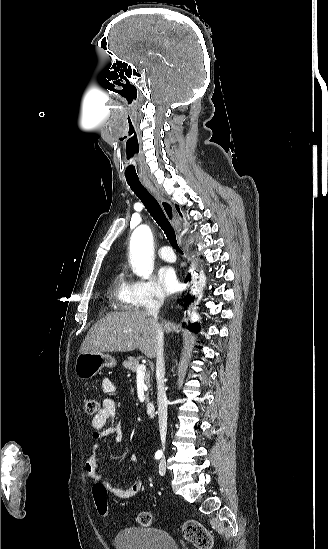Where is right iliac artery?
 Wrapping results in <instances>:
<instances>
[{
    "label": "right iliac artery",
    "mask_w": 328,
    "mask_h": 549,
    "mask_svg": "<svg viewBox=\"0 0 328 549\" xmlns=\"http://www.w3.org/2000/svg\"><path fill=\"white\" fill-rule=\"evenodd\" d=\"M162 457V453L156 452L155 453V459H160Z\"/></svg>",
    "instance_id": "1"
}]
</instances>
